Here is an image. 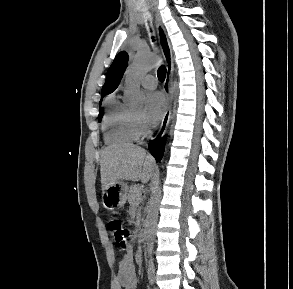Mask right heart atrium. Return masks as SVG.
<instances>
[{
    "instance_id": "d8ad5b80",
    "label": "right heart atrium",
    "mask_w": 293,
    "mask_h": 289,
    "mask_svg": "<svg viewBox=\"0 0 293 289\" xmlns=\"http://www.w3.org/2000/svg\"><path fill=\"white\" fill-rule=\"evenodd\" d=\"M138 123L141 125V126H145L146 124H145V122H144V120L142 119V118H138Z\"/></svg>"
}]
</instances>
